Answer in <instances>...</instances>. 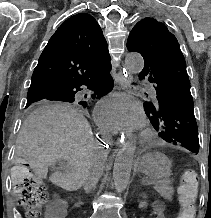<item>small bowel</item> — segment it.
Returning a JSON list of instances; mask_svg holds the SVG:
<instances>
[{"instance_id": "1", "label": "small bowel", "mask_w": 211, "mask_h": 218, "mask_svg": "<svg viewBox=\"0 0 211 218\" xmlns=\"http://www.w3.org/2000/svg\"><path fill=\"white\" fill-rule=\"evenodd\" d=\"M154 218H165V206L162 203H155L152 208ZM58 215V209L50 206L47 209V218H55Z\"/></svg>"}]
</instances>
